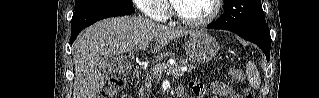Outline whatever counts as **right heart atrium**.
Masks as SVG:
<instances>
[{
	"instance_id": "d8ad5b80",
	"label": "right heart atrium",
	"mask_w": 319,
	"mask_h": 98,
	"mask_svg": "<svg viewBox=\"0 0 319 98\" xmlns=\"http://www.w3.org/2000/svg\"><path fill=\"white\" fill-rule=\"evenodd\" d=\"M135 4L151 19H164L168 13V7L163 0H136Z\"/></svg>"
}]
</instances>
